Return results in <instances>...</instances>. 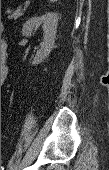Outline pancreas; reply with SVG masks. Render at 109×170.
<instances>
[{"label": "pancreas", "mask_w": 109, "mask_h": 170, "mask_svg": "<svg viewBox=\"0 0 109 170\" xmlns=\"http://www.w3.org/2000/svg\"><path fill=\"white\" fill-rule=\"evenodd\" d=\"M25 8L21 10V8H17L16 10H7L8 18L9 19H17L18 17L23 15Z\"/></svg>", "instance_id": "pancreas-1"}]
</instances>
